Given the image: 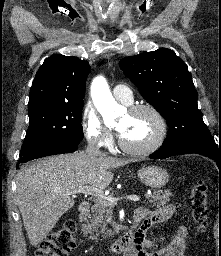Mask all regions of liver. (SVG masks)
Wrapping results in <instances>:
<instances>
[{"instance_id":"liver-1","label":"liver","mask_w":221,"mask_h":256,"mask_svg":"<svg viewBox=\"0 0 221 256\" xmlns=\"http://www.w3.org/2000/svg\"><path fill=\"white\" fill-rule=\"evenodd\" d=\"M114 157L77 152L27 163L16 176V202L29 242L37 246L75 201L67 192L91 185L105 189L113 180L110 169L130 163Z\"/></svg>"}]
</instances>
